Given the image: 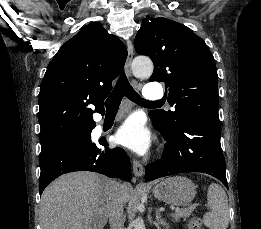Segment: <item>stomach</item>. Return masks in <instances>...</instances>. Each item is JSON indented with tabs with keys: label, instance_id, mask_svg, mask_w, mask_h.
Returning a JSON list of instances; mask_svg holds the SVG:
<instances>
[{
	"label": "stomach",
	"instance_id": "obj_1",
	"mask_svg": "<svg viewBox=\"0 0 261 229\" xmlns=\"http://www.w3.org/2000/svg\"><path fill=\"white\" fill-rule=\"evenodd\" d=\"M153 195L158 201L181 207L192 203L196 195V187L186 177H169V179H162L161 183L154 187Z\"/></svg>",
	"mask_w": 261,
	"mask_h": 229
}]
</instances>
